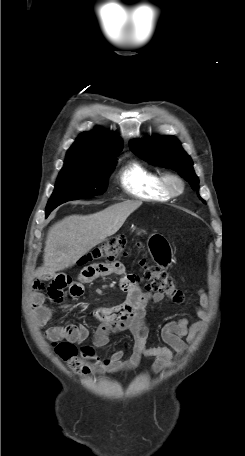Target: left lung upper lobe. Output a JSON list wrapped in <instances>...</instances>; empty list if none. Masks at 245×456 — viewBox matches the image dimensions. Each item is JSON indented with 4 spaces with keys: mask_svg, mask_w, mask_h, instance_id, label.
I'll use <instances>...</instances> for the list:
<instances>
[{
    "mask_svg": "<svg viewBox=\"0 0 245 456\" xmlns=\"http://www.w3.org/2000/svg\"><path fill=\"white\" fill-rule=\"evenodd\" d=\"M129 144L135 155L177 171L189 182L193 190H198L199 180L193 170V162L176 138L152 137L147 140H132Z\"/></svg>",
    "mask_w": 245,
    "mask_h": 456,
    "instance_id": "obj_1",
    "label": "left lung upper lobe"
}]
</instances>
